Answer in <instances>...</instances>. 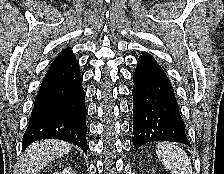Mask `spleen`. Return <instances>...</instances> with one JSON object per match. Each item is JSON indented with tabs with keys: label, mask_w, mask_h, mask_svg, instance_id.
I'll return each mask as SVG.
<instances>
[{
	"label": "spleen",
	"mask_w": 224,
	"mask_h": 174,
	"mask_svg": "<svg viewBox=\"0 0 224 174\" xmlns=\"http://www.w3.org/2000/svg\"><path fill=\"white\" fill-rule=\"evenodd\" d=\"M156 154L171 174H192L190 159L174 143H159L156 146Z\"/></svg>",
	"instance_id": "obj_1"
}]
</instances>
